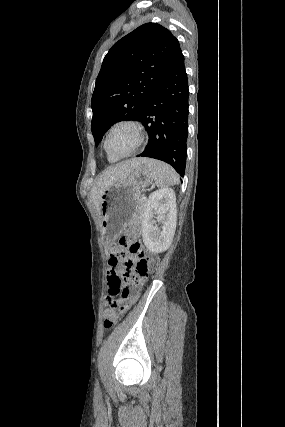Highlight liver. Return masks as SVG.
Returning <instances> with one entry per match:
<instances>
[{
    "label": "liver",
    "instance_id": "obj_1",
    "mask_svg": "<svg viewBox=\"0 0 285 427\" xmlns=\"http://www.w3.org/2000/svg\"><path fill=\"white\" fill-rule=\"evenodd\" d=\"M145 158H133L126 160L112 167L107 168L97 178L91 189V198L99 216L101 215L100 202L105 190L110 186L124 180L138 166L145 162Z\"/></svg>",
    "mask_w": 285,
    "mask_h": 427
}]
</instances>
